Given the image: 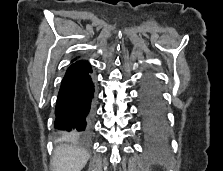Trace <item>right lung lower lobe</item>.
<instances>
[{
	"label": "right lung lower lobe",
	"mask_w": 223,
	"mask_h": 171,
	"mask_svg": "<svg viewBox=\"0 0 223 171\" xmlns=\"http://www.w3.org/2000/svg\"><path fill=\"white\" fill-rule=\"evenodd\" d=\"M88 62L77 61L67 70L55 108L54 127L60 136L88 139L91 131L94 85Z\"/></svg>",
	"instance_id": "1"
}]
</instances>
